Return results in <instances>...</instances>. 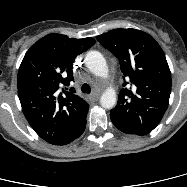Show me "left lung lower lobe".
I'll return each mask as SVG.
<instances>
[{
    "instance_id": "0a47b994",
    "label": "left lung lower lobe",
    "mask_w": 187,
    "mask_h": 187,
    "mask_svg": "<svg viewBox=\"0 0 187 187\" xmlns=\"http://www.w3.org/2000/svg\"><path fill=\"white\" fill-rule=\"evenodd\" d=\"M111 118V117H110ZM112 123L122 132L127 133V134H134L130 131H128L127 129H125L122 125H120L119 123H117L113 118H111Z\"/></svg>"
}]
</instances>
